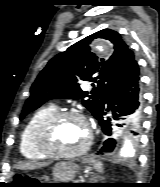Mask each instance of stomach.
<instances>
[{"instance_id": "0dacf381", "label": "stomach", "mask_w": 160, "mask_h": 187, "mask_svg": "<svg viewBox=\"0 0 160 187\" xmlns=\"http://www.w3.org/2000/svg\"><path fill=\"white\" fill-rule=\"evenodd\" d=\"M79 171V166L72 161H62L53 168V178L59 183H68L72 181Z\"/></svg>"}]
</instances>
